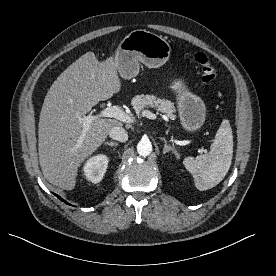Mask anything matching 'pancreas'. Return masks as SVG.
Segmentation results:
<instances>
[{
	"label": "pancreas",
	"instance_id": "cf45deb5",
	"mask_svg": "<svg viewBox=\"0 0 276 276\" xmlns=\"http://www.w3.org/2000/svg\"><path fill=\"white\" fill-rule=\"evenodd\" d=\"M137 114L141 113L145 108H154L157 111L165 113L170 119H174V105L168 100L157 98L154 95H136L131 102Z\"/></svg>",
	"mask_w": 276,
	"mask_h": 276
}]
</instances>
